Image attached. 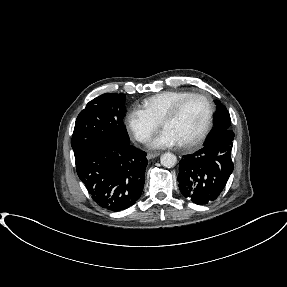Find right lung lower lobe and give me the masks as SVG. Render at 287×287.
Here are the masks:
<instances>
[{"instance_id":"1","label":"right lung lower lobe","mask_w":287,"mask_h":287,"mask_svg":"<svg viewBox=\"0 0 287 287\" xmlns=\"http://www.w3.org/2000/svg\"><path fill=\"white\" fill-rule=\"evenodd\" d=\"M77 174L92 199L109 211L132 206L141 196L146 153L129 144L94 143L75 155Z\"/></svg>"}]
</instances>
